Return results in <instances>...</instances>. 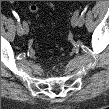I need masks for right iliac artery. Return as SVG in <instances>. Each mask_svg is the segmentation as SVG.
I'll use <instances>...</instances> for the list:
<instances>
[{
    "instance_id": "obj_1",
    "label": "right iliac artery",
    "mask_w": 109,
    "mask_h": 109,
    "mask_svg": "<svg viewBox=\"0 0 109 109\" xmlns=\"http://www.w3.org/2000/svg\"><path fill=\"white\" fill-rule=\"evenodd\" d=\"M12 14L17 21V33H18V35L21 36L23 34V28H22V25H21V22H20V17L18 15V13L14 10H12Z\"/></svg>"
}]
</instances>
